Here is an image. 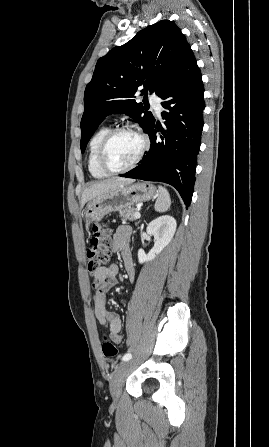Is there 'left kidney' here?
<instances>
[{"label": "left kidney", "mask_w": 269, "mask_h": 447, "mask_svg": "<svg viewBox=\"0 0 269 447\" xmlns=\"http://www.w3.org/2000/svg\"><path fill=\"white\" fill-rule=\"evenodd\" d=\"M176 225V220H174L172 216H160V218L152 220V222L147 225L146 231L148 235H154L155 241L149 253H145L142 247L138 249L139 263H144V261H152L158 253H161L162 249L170 243L176 231Z\"/></svg>", "instance_id": "5707ae66"}]
</instances>
